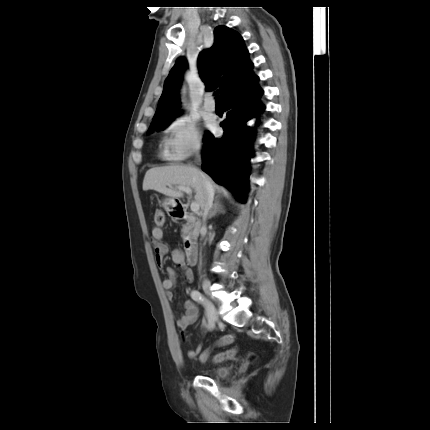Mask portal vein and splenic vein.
<instances>
[{"mask_svg": "<svg viewBox=\"0 0 430 430\" xmlns=\"http://www.w3.org/2000/svg\"><path fill=\"white\" fill-rule=\"evenodd\" d=\"M178 190L186 192L188 194L192 193V189L190 187H185V186H178L177 187ZM191 211L192 212H198L199 211V204L195 201L191 202Z\"/></svg>", "mask_w": 430, "mask_h": 430, "instance_id": "18ae733b", "label": "portal vein and splenic vein"}]
</instances>
